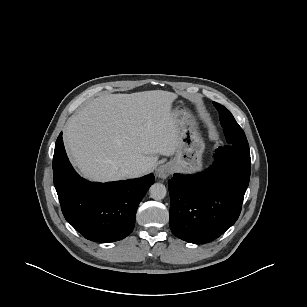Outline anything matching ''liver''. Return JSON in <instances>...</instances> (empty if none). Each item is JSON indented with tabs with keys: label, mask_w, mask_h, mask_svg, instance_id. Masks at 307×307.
Here are the masks:
<instances>
[{
	"label": "liver",
	"mask_w": 307,
	"mask_h": 307,
	"mask_svg": "<svg viewBox=\"0 0 307 307\" xmlns=\"http://www.w3.org/2000/svg\"><path fill=\"white\" fill-rule=\"evenodd\" d=\"M175 99L162 90L92 99L64 128L73 165L85 178L101 182L124 179L127 168L145 167L141 175L151 172L160 155H176L180 144L171 110Z\"/></svg>",
	"instance_id": "obj_1"
}]
</instances>
